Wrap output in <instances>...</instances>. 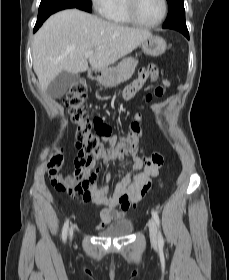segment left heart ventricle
I'll return each instance as SVG.
<instances>
[{"label": "left heart ventricle", "instance_id": "obj_1", "mask_svg": "<svg viewBox=\"0 0 229 280\" xmlns=\"http://www.w3.org/2000/svg\"><path fill=\"white\" fill-rule=\"evenodd\" d=\"M135 11L142 21L154 22L161 16L162 2L161 0H136Z\"/></svg>", "mask_w": 229, "mask_h": 280}]
</instances>
